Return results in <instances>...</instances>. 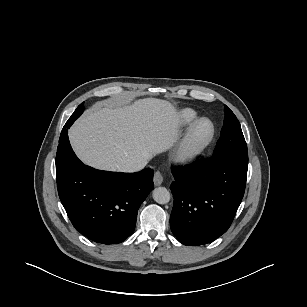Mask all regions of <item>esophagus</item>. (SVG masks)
Wrapping results in <instances>:
<instances>
[{
  "label": "esophagus",
  "mask_w": 307,
  "mask_h": 307,
  "mask_svg": "<svg viewBox=\"0 0 307 307\" xmlns=\"http://www.w3.org/2000/svg\"><path fill=\"white\" fill-rule=\"evenodd\" d=\"M153 182L155 186H160L163 182V176L159 171L154 173Z\"/></svg>",
  "instance_id": "esophagus-1"
}]
</instances>
